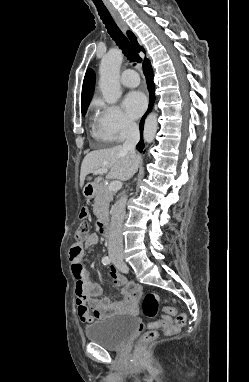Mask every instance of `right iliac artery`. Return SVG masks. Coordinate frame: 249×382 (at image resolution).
<instances>
[{"label":"right iliac artery","mask_w":249,"mask_h":382,"mask_svg":"<svg viewBox=\"0 0 249 382\" xmlns=\"http://www.w3.org/2000/svg\"><path fill=\"white\" fill-rule=\"evenodd\" d=\"M110 262H111V260H110L109 257L105 256V257L102 258V263L104 265H108V264H110Z\"/></svg>","instance_id":"right-iliac-artery-1"}]
</instances>
